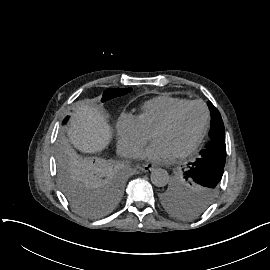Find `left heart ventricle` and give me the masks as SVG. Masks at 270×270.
I'll return each mask as SVG.
<instances>
[{
  "mask_svg": "<svg viewBox=\"0 0 270 270\" xmlns=\"http://www.w3.org/2000/svg\"><path fill=\"white\" fill-rule=\"evenodd\" d=\"M203 121V109L200 106H192L181 115L174 126L151 133V138L166 142L178 155L197 139Z\"/></svg>",
  "mask_w": 270,
  "mask_h": 270,
  "instance_id": "left-heart-ventricle-1",
  "label": "left heart ventricle"
}]
</instances>
